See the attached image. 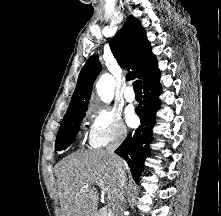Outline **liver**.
Here are the masks:
<instances>
[{"label": "liver", "instance_id": "1", "mask_svg": "<svg viewBox=\"0 0 221 216\" xmlns=\"http://www.w3.org/2000/svg\"><path fill=\"white\" fill-rule=\"evenodd\" d=\"M119 158V157H118ZM126 169V163L119 158ZM62 216H96L98 192L111 190L117 195L118 174L113 158L105 150L77 151L56 167Z\"/></svg>", "mask_w": 221, "mask_h": 216}]
</instances>
